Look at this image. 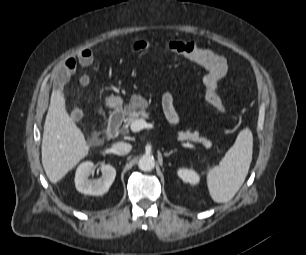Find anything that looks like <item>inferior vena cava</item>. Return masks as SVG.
<instances>
[{
    "mask_svg": "<svg viewBox=\"0 0 306 255\" xmlns=\"http://www.w3.org/2000/svg\"><path fill=\"white\" fill-rule=\"evenodd\" d=\"M132 149V146L128 143L117 142L112 146V152L117 155L128 154Z\"/></svg>",
    "mask_w": 306,
    "mask_h": 255,
    "instance_id": "602c4592",
    "label": "inferior vena cava"
}]
</instances>
